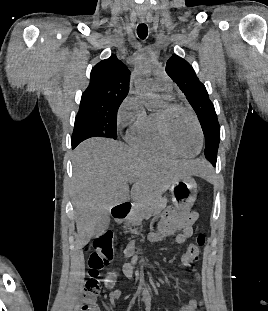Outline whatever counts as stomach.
<instances>
[{
	"instance_id": "stomach-1",
	"label": "stomach",
	"mask_w": 268,
	"mask_h": 311,
	"mask_svg": "<svg viewBox=\"0 0 268 311\" xmlns=\"http://www.w3.org/2000/svg\"><path fill=\"white\" fill-rule=\"evenodd\" d=\"M174 205L180 210H187L196 200L197 184L191 175H186L170 186Z\"/></svg>"
}]
</instances>
